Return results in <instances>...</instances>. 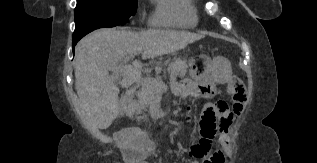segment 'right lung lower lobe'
Returning <instances> with one entry per match:
<instances>
[{"label": "right lung lower lobe", "instance_id": "right-lung-lower-lobe-1", "mask_svg": "<svg viewBox=\"0 0 317 163\" xmlns=\"http://www.w3.org/2000/svg\"><path fill=\"white\" fill-rule=\"evenodd\" d=\"M80 39H81V38L73 39V49H74L76 43H77Z\"/></svg>", "mask_w": 317, "mask_h": 163}]
</instances>
